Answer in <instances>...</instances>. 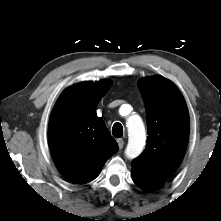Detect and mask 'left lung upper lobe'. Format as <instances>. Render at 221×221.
<instances>
[{
	"label": "left lung upper lobe",
	"instance_id": "1",
	"mask_svg": "<svg viewBox=\"0 0 221 221\" xmlns=\"http://www.w3.org/2000/svg\"><path fill=\"white\" fill-rule=\"evenodd\" d=\"M148 126L146 149L132 161L148 175L165 181L180 165L189 138V114L178 88L162 76L138 84Z\"/></svg>",
	"mask_w": 221,
	"mask_h": 221
}]
</instances>
